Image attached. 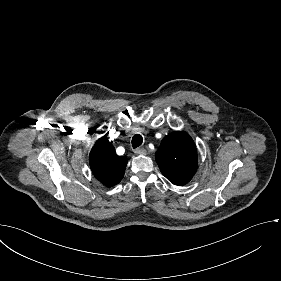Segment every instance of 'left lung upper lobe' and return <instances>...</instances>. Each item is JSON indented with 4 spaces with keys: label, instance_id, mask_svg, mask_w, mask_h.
Returning <instances> with one entry per match:
<instances>
[{
    "label": "left lung upper lobe",
    "instance_id": "obj_1",
    "mask_svg": "<svg viewBox=\"0 0 281 281\" xmlns=\"http://www.w3.org/2000/svg\"><path fill=\"white\" fill-rule=\"evenodd\" d=\"M162 174L175 185H185L197 170V149L186 132L166 136L155 155Z\"/></svg>",
    "mask_w": 281,
    "mask_h": 281
}]
</instances>
